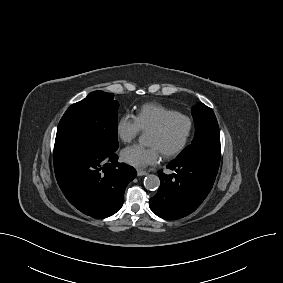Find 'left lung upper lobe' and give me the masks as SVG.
Listing matches in <instances>:
<instances>
[{"mask_svg": "<svg viewBox=\"0 0 283 283\" xmlns=\"http://www.w3.org/2000/svg\"><path fill=\"white\" fill-rule=\"evenodd\" d=\"M195 136L175 161L200 158L215 167L220 163V132L213 110L201 102L192 107Z\"/></svg>", "mask_w": 283, "mask_h": 283, "instance_id": "5c2ea615", "label": "left lung upper lobe"}]
</instances>
